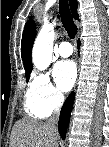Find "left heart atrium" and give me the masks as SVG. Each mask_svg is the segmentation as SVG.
Returning <instances> with one entry per match:
<instances>
[{
    "label": "left heart atrium",
    "instance_id": "39dd6f15",
    "mask_svg": "<svg viewBox=\"0 0 109 147\" xmlns=\"http://www.w3.org/2000/svg\"><path fill=\"white\" fill-rule=\"evenodd\" d=\"M53 77L60 90H70L76 79V67L74 63L69 60L59 62L53 70Z\"/></svg>",
    "mask_w": 109,
    "mask_h": 147
}]
</instances>
